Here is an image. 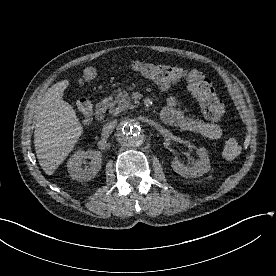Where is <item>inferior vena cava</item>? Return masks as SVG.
I'll use <instances>...</instances> for the list:
<instances>
[{"label":"inferior vena cava","instance_id":"inferior-vena-cava-1","mask_svg":"<svg viewBox=\"0 0 276 276\" xmlns=\"http://www.w3.org/2000/svg\"><path fill=\"white\" fill-rule=\"evenodd\" d=\"M116 124H117V121H116V120L110 121V122L106 123V124L104 125V127H103V133H104V134H109V133H111L112 130L115 128Z\"/></svg>","mask_w":276,"mask_h":276}]
</instances>
